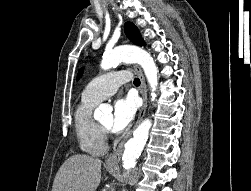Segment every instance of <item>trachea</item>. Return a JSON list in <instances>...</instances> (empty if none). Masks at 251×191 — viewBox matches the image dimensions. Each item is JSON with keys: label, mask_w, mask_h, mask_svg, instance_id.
I'll use <instances>...</instances> for the list:
<instances>
[{"label": "trachea", "mask_w": 251, "mask_h": 191, "mask_svg": "<svg viewBox=\"0 0 251 191\" xmlns=\"http://www.w3.org/2000/svg\"><path fill=\"white\" fill-rule=\"evenodd\" d=\"M140 82L141 81L139 80V78H135L134 81H133V83H134L135 86H139Z\"/></svg>", "instance_id": "3493384b"}]
</instances>
